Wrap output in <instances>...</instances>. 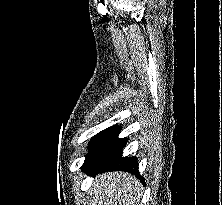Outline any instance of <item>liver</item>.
<instances>
[{
	"instance_id": "obj_1",
	"label": "liver",
	"mask_w": 222,
	"mask_h": 205,
	"mask_svg": "<svg viewBox=\"0 0 222 205\" xmlns=\"http://www.w3.org/2000/svg\"><path fill=\"white\" fill-rule=\"evenodd\" d=\"M90 205H140L141 184L127 172L98 174L90 188Z\"/></svg>"
}]
</instances>
